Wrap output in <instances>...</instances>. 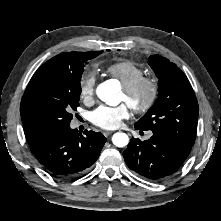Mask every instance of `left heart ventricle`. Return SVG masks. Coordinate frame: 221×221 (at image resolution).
Instances as JSON below:
<instances>
[{
    "mask_svg": "<svg viewBox=\"0 0 221 221\" xmlns=\"http://www.w3.org/2000/svg\"><path fill=\"white\" fill-rule=\"evenodd\" d=\"M144 94H140L138 97H137V101H142L143 99H144ZM120 101H125V102H127L128 104H130L131 103V100H130V98L128 97V95H126V93L123 91V89H122V91H121V94H120Z\"/></svg>",
    "mask_w": 221,
    "mask_h": 221,
    "instance_id": "obj_1",
    "label": "left heart ventricle"
}]
</instances>
